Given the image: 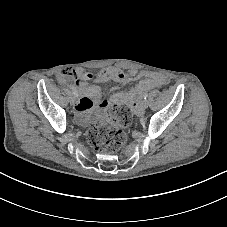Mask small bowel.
I'll return each instance as SVG.
<instances>
[{"label": "small bowel", "instance_id": "1", "mask_svg": "<svg viewBox=\"0 0 227 227\" xmlns=\"http://www.w3.org/2000/svg\"><path fill=\"white\" fill-rule=\"evenodd\" d=\"M137 77L135 70H130L124 73L116 67H108L97 73L85 72L83 70L77 71V78L75 80V89L80 93V99L75 107L76 119L81 124H86L89 121V112L98 101L101 94V87L99 85H88L89 80L97 82H107L109 80L119 82H131ZM168 79L165 76L156 74L152 77L143 79L132 91L129 93H116L109 100H104L101 107L106 109L114 104H128L134 110H140L139 100L150 89L166 85Z\"/></svg>", "mask_w": 227, "mask_h": 227}]
</instances>
